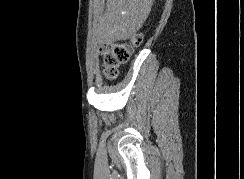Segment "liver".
<instances>
[{"mask_svg": "<svg viewBox=\"0 0 244 179\" xmlns=\"http://www.w3.org/2000/svg\"><path fill=\"white\" fill-rule=\"evenodd\" d=\"M152 0H108L105 14L96 30L98 42L129 40L147 20Z\"/></svg>", "mask_w": 244, "mask_h": 179, "instance_id": "6515ba94", "label": "liver"}]
</instances>
